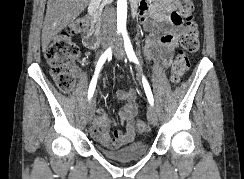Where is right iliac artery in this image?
Wrapping results in <instances>:
<instances>
[{
    "instance_id": "obj_1",
    "label": "right iliac artery",
    "mask_w": 244,
    "mask_h": 179,
    "mask_svg": "<svg viewBox=\"0 0 244 179\" xmlns=\"http://www.w3.org/2000/svg\"><path fill=\"white\" fill-rule=\"evenodd\" d=\"M108 58V60H111L112 58V52H111V47H109L99 58L97 65H96V70H95V74L91 80L90 86H89V90H88V99L90 100L94 94L95 91V87H96V83H97V77L99 75V72L103 66V64L105 63L106 59Z\"/></svg>"
}]
</instances>
